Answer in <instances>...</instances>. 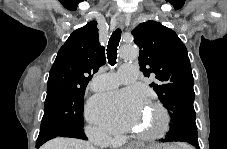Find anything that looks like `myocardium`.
Returning <instances> with one entry per match:
<instances>
[{"mask_svg": "<svg viewBox=\"0 0 227 149\" xmlns=\"http://www.w3.org/2000/svg\"><path fill=\"white\" fill-rule=\"evenodd\" d=\"M149 105L157 111L160 123L156 128L147 133H137L136 138L140 141H154L163 137L170 127V115L168 110L159 102L149 101Z\"/></svg>", "mask_w": 227, "mask_h": 149, "instance_id": "f54148a6", "label": "myocardium"}]
</instances>
